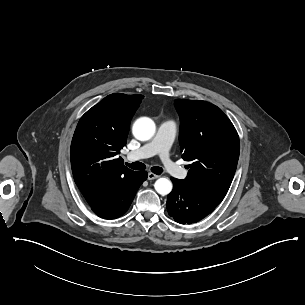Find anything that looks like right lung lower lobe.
I'll return each instance as SVG.
<instances>
[{"label":"right lung lower lobe","mask_w":305,"mask_h":305,"mask_svg":"<svg viewBox=\"0 0 305 305\" xmlns=\"http://www.w3.org/2000/svg\"><path fill=\"white\" fill-rule=\"evenodd\" d=\"M146 178L147 172H136L131 179L115 187L106 197L89 204L92 211L104 219H115L122 216L128 210L138 188Z\"/></svg>","instance_id":"right-lung-lower-lobe-1"}]
</instances>
